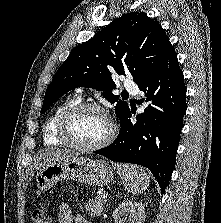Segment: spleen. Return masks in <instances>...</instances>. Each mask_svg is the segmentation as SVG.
<instances>
[{
  "instance_id": "obj_1",
  "label": "spleen",
  "mask_w": 221,
  "mask_h": 223,
  "mask_svg": "<svg viewBox=\"0 0 221 223\" xmlns=\"http://www.w3.org/2000/svg\"><path fill=\"white\" fill-rule=\"evenodd\" d=\"M114 168L127 191L141 194L148 188L150 178L143 168L131 164H114Z\"/></svg>"
}]
</instances>
